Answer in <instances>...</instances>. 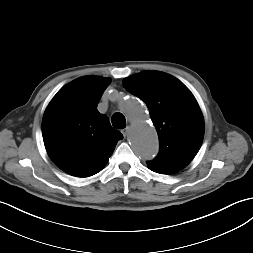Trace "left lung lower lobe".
Segmentation results:
<instances>
[{"label":"left lung lower lobe","mask_w":253,"mask_h":253,"mask_svg":"<svg viewBox=\"0 0 253 253\" xmlns=\"http://www.w3.org/2000/svg\"><path fill=\"white\" fill-rule=\"evenodd\" d=\"M148 168L151 169L152 171L160 173V174H170V172L159 170V169L153 168L151 166H148Z\"/></svg>","instance_id":"obj_1"}]
</instances>
